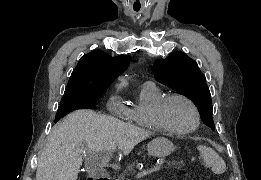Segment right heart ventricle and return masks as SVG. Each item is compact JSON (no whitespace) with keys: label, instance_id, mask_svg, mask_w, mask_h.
I'll return each mask as SVG.
<instances>
[{"label":"right heart ventricle","instance_id":"obj_1","mask_svg":"<svg viewBox=\"0 0 261 180\" xmlns=\"http://www.w3.org/2000/svg\"><path fill=\"white\" fill-rule=\"evenodd\" d=\"M165 96V94L153 84H143L140 86L136 98L134 100V105L131 108H122L125 122H132V127H143V131H150L146 128L142 121V115L155 107L157 103ZM151 136L143 137H153ZM183 137H177L174 139H181Z\"/></svg>","mask_w":261,"mask_h":180}]
</instances>
